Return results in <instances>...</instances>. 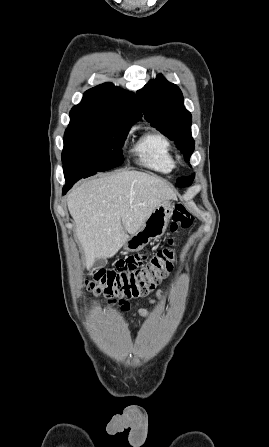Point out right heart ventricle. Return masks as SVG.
<instances>
[{
	"label": "right heart ventricle",
	"instance_id": "obj_1",
	"mask_svg": "<svg viewBox=\"0 0 269 447\" xmlns=\"http://www.w3.org/2000/svg\"><path fill=\"white\" fill-rule=\"evenodd\" d=\"M138 162L154 171L169 173L175 168V159L169 139L161 132L146 135L135 145Z\"/></svg>",
	"mask_w": 269,
	"mask_h": 447
}]
</instances>
